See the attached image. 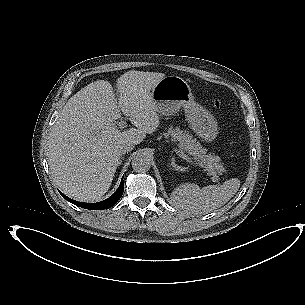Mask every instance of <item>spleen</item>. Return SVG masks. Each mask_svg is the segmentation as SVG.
<instances>
[{
  "instance_id": "spleen-1",
  "label": "spleen",
  "mask_w": 305,
  "mask_h": 305,
  "mask_svg": "<svg viewBox=\"0 0 305 305\" xmlns=\"http://www.w3.org/2000/svg\"><path fill=\"white\" fill-rule=\"evenodd\" d=\"M234 179L222 185H209L202 189L194 183H186L171 193V200L177 208L192 214H205L226 204L232 197L229 186Z\"/></svg>"
}]
</instances>
